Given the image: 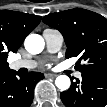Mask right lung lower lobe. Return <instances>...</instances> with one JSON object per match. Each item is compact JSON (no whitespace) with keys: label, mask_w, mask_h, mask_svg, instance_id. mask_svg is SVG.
Wrapping results in <instances>:
<instances>
[{"label":"right lung lower lobe","mask_w":107,"mask_h":107,"mask_svg":"<svg viewBox=\"0 0 107 107\" xmlns=\"http://www.w3.org/2000/svg\"><path fill=\"white\" fill-rule=\"evenodd\" d=\"M43 78L40 72L20 75L10 69L0 71V107H29L34 87Z\"/></svg>","instance_id":"obj_1"}]
</instances>
